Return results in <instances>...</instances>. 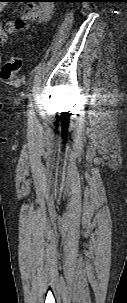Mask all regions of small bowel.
Masks as SVG:
<instances>
[{
	"mask_svg": "<svg viewBox=\"0 0 127 303\" xmlns=\"http://www.w3.org/2000/svg\"><path fill=\"white\" fill-rule=\"evenodd\" d=\"M49 1L51 0L30 2L19 19L9 21L5 27L0 23V44H4L10 36L26 30L31 21L47 22L53 14V5L47 3ZM1 10L0 6V12Z\"/></svg>",
	"mask_w": 127,
	"mask_h": 303,
	"instance_id": "1",
	"label": "small bowel"
}]
</instances>
